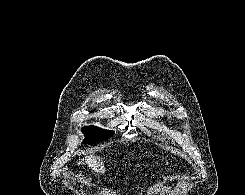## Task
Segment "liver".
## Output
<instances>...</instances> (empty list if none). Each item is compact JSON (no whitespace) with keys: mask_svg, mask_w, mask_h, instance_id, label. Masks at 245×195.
Wrapping results in <instances>:
<instances>
[{"mask_svg":"<svg viewBox=\"0 0 245 195\" xmlns=\"http://www.w3.org/2000/svg\"><path fill=\"white\" fill-rule=\"evenodd\" d=\"M82 161H84L85 164H88V166L91 167L95 172L105 171L103 158H100V156L91 154L90 156H86L81 161L77 162V165L84 164Z\"/></svg>","mask_w":245,"mask_h":195,"instance_id":"1","label":"liver"}]
</instances>
